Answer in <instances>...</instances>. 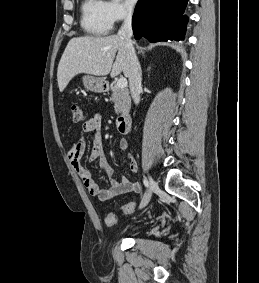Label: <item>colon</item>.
I'll list each match as a JSON object with an SVG mask.
<instances>
[{"label":"colon","mask_w":259,"mask_h":283,"mask_svg":"<svg viewBox=\"0 0 259 283\" xmlns=\"http://www.w3.org/2000/svg\"><path fill=\"white\" fill-rule=\"evenodd\" d=\"M71 111H72L74 122L80 123L84 120V113H83L82 108L79 105L73 104L71 107ZM135 207H136V204L134 202H128V203H125L121 207V211L124 214H130L134 211ZM105 223L107 226H114L116 223L115 214L112 212L108 213L105 217Z\"/></svg>","instance_id":"5ec220e1"}]
</instances>
